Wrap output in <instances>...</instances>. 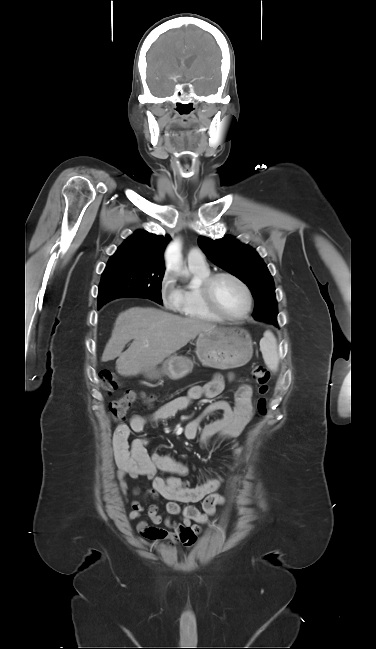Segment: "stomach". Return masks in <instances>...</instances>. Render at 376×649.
Returning <instances> with one entry per match:
<instances>
[{
  "label": "stomach",
  "mask_w": 376,
  "mask_h": 649,
  "mask_svg": "<svg viewBox=\"0 0 376 649\" xmlns=\"http://www.w3.org/2000/svg\"><path fill=\"white\" fill-rule=\"evenodd\" d=\"M196 354L204 366L211 368L223 370L243 366L252 358V339L247 331L236 327L203 331L196 342ZM192 366L188 358L174 355L164 362L161 370L153 367L144 369L143 373L151 380L162 374L178 380L189 374Z\"/></svg>",
  "instance_id": "stomach-1"
}]
</instances>
